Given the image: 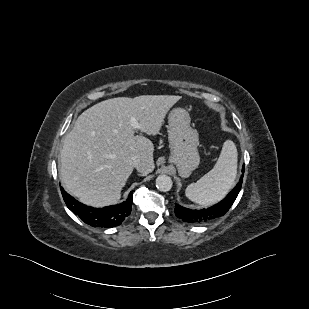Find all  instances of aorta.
<instances>
[{
	"label": "aorta",
	"instance_id": "762f6f07",
	"mask_svg": "<svg viewBox=\"0 0 309 309\" xmlns=\"http://www.w3.org/2000/svg\"><path fill=\"white\" fill-rule=\"evenodd\" d=\"M173 182L168 175H159L156 179V187L162 192L171 190Z\"/></svg>",
	"mask_w": 309,
	"mask_h": 309
}]
</instances>
